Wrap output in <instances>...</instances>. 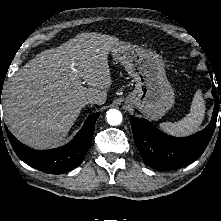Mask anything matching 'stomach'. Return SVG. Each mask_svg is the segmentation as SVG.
<instances>
[{
    "label": "stomach",
    "mask_w": 221,
    "mask_h": 221,
    "mask_svg": "<svg viewBox=\"0 0 221 221\" xmlns=\"http://www.w3.org/2000/svg\"><path fill=\"white\" fill-rule=\"evenodd\" d=\"M111 52L135 80V88L125 98V104L151 120L162 118L173 107L175 94L161 56L127 42H118Z\"/></svg>",
    "instance_id": "1"
}]
</instances>
